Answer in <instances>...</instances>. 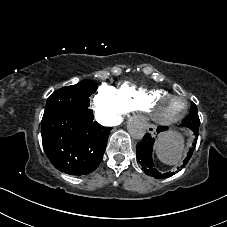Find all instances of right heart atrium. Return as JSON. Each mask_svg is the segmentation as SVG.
<instances>
[{
    "instance_id": "1",
    "label": "right heart atrium",
    "mask_w": 227,
    "mask_h": 227,
    "mask_svg": "<svg viewBox=\"0 0 227 227\" xmlns=\"http://www.w3.org/2000/svg\"><path fill=\"white\" fill-rule=\"evenodd\" d=\"M92 109L97 120L105 126L119 124L126 113L117 97L115 88L106 83L100 85L95 93Z\"/></svg>"
}]
</instances>
